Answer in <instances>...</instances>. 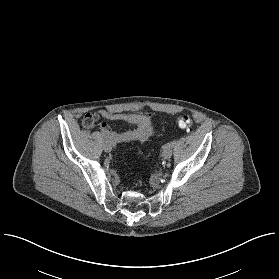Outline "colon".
<instances>
[{
  "label": "colon",
  "mask_w": 279,
  "mask_h": 279,
  "mask_svg": "<svg viewBox=\"0 0 279 279\" xmlns=\"http://www.w3.org/2000/svg\"><path fill=\"white\" fill-rule=\"evenodd\" d=\"M191 124H192V120L186 114H180L175 118V125L179 128L187 129L191 126ZM84 127L87 129L90 128L88 124H85Z\"/></svg>",
  "instance_id": "1"
}]
</instances>
